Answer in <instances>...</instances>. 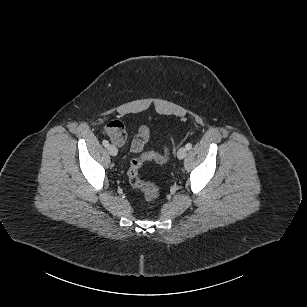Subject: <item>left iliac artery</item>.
I'll return each instance as SVG.
<instances>
[{"instance_id": "obj_1", "label": "left iliac artery", "mask_w": 307, "mask_h": 307, "mask_svg": "<svg viewBox=\"0 0 307 307\" xmlns=\"http://www.w3.org/2000/svg\"><path fill=\"white\" fill-rule=\"evenodd\" d=\"M185 147H186L187 150H190V149L192 148V144H191V143H188V144H186Z\"/></svg>"}]
</instances>
